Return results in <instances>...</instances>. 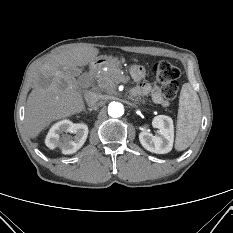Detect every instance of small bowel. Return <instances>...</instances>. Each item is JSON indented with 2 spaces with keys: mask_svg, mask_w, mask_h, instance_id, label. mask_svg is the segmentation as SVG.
<instances>
[{
  "mask_svg": "<svg viewBox=\"0 0 233 233\" xmlns=\"http://www.w3.org/2000/svg\"><path fill=\"white\" fill-rule=\"evenodd\" d=\"M131 76L135 81L140 82L134 89L135 95H145L150 93L152 100L155 104L160 106H167L168 102L163 98L161 94V88L158 85H150L143 82L145 76V69L141 65H134L131 68Z\"/></svg>",
  "mask_w": 233,
  "mask_h": 233,
  "instance_id": "1",
  "label": "small bowel"
}]
</instances>
